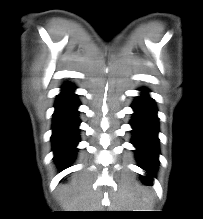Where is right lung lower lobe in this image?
Masks as SVG:
<instances>
[{
    "label": "right lung lower lobe",
    "mask_w": 203,
    "mask_h": 219,
    "mask_svg": "<svg viewBox=\"0 0 203 219\" xmlns=\"http://www.w3.org/2000/svg\"><path fill=\"white\" fill-rule=\"evenodd\" d=\"M74 89L73 84L64 85L54 105L51 141L53 159L59 166H67L74 160L76 145L80 141L78 128L80 120L77 111L80 103L73 92Z\"/></svg>",
    "instance_id": "right-lung-lower-lobe-1"
}]
</instances>
